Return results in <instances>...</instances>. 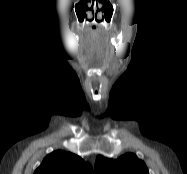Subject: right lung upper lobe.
I'll use <instances>...</instances> for the list:
<instances>
[{"mask_svg": "<svg viewBox=\"0 0 187 174\" xmlns=\"http://www.w3.org/2000/svg\"><path fill=\"white\" fill-rule=\"evenodd\" d=\"M34 174H94L92 166L79 156L63 151L49 154Z\"/></svg>", "mask_w": 187, "mask_h": 174, "instance_id": "obj_1", "label": "right lung upper lobe"}]
</instances>
